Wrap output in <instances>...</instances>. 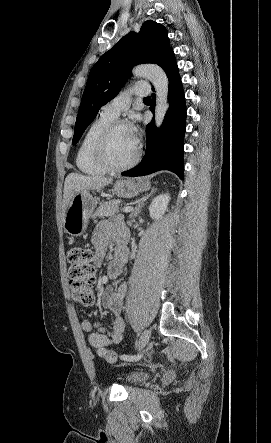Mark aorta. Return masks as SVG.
Returning <instances> with one entry per match:
<instances>
[{
    "mask_svg": "<svg viewBox=\"0 0 271 443\" xmlns=\"http://www.w3.org/2000/svg\"><path fill=\"white\" fill-rule=\"evenodd\" d=\"M132 74L136 78H147V80L152 82L156 92L155 124L157 128H160L169 108V80L164 70L159 68V66H155V64H141V66L133 68Z\"/></svg>",
    "mask_w": 271,
    "mask_h": 443,
    "instance_id": "762f6f07",
    "label": "aorta"
}]
</instances>
